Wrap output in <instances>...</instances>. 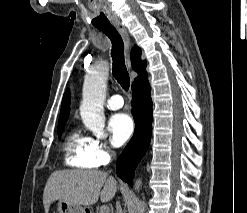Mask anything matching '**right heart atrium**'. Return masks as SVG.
I'll use <instances>...</instances> for the list:
<instances>
[{"instance_id": "1", "label": "right heart atrium", "mask_w": 247, "mask_h": 213, "mask_svg": "<svg viewBox=\"0 0 247 213\" xmlns=\"http://www.w3.org/2000/svg\"><path fill=\"white\" fill-rule=\"evenodd\" d=\"M88 157L94 167L107 165L113 156V150L110 145L99 138H89Z\"/></svg>"}]
</instances>
